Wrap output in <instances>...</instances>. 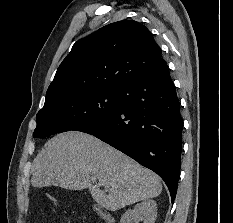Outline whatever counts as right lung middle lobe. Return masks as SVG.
<instances>
[{"label":"right lung middle lobe","instance_id":"1","mask_svg":"<svg viewBox=\"0 0 233 223\" xmlns=\"http://www.w3.org/2000/svg\"><path fill=\"white\" fill-rule=\"evenodd\" d=\"M120 89L92 88L58 97L38 112L34 138L74 130L105 117L118 108Z\"/></svg>","mask_w":233,"mask_h":223}]
</instances>
